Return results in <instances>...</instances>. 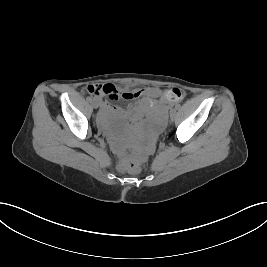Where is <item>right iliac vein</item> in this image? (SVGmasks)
<instances>
[{"instance_id": "obj_1", "label": "right iliac vein", "mask_w": 267, "mask_h": 267, "mask_svg": "<svg viewBox=\"0 0 267 267\" xmlns=\"http://www.w3.org/2000/svg\"><path fill=\"white\" fill-rule=\"evenodd\" d=\"M92 106H93L94 108H97V107H98V103H97L95 100H93V101H92Z\"/></svg>"}]
</instances>
